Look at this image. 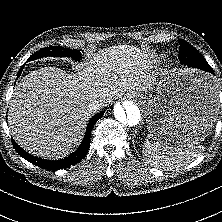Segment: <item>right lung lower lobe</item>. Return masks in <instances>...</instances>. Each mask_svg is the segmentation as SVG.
Returning a JSON list of instances; mask_svg holds the SVG:
<instances>
[{
  "instance_id": "98d812e1",
  "label": "right lung lower lobe",
  "mask_w": 222,
  "mask_h": 222,
  "mask_svg": "<svg viewBox=\"0 0 222 222\" xmlns=\"http://www.w3.org/2000/svg\"><path fill=\"white\" fill-rule=\"evenodd\" d=\"M30 61V60H28ZM24 68V65L20 68L18 71L17 77H19L22 73V70ZM104 115V112H100L96 115H94L90 120L86 127V132L83 138L82 143L78 147V149L73 152L68 157H65L64 159L55 160V161H49L45 159H41L38 157H35L29 153H27L25 150H23L19 145H17L16 142L12 140V144L18 154H20L24 159L29 161L30 163L39 166L42 169L46 170H59L62 168H67L73 164L78 163L83 159V157L87 154L89 147H90V138H91V131L98 119H100Z\"/></svg>"
}]
</instances>
